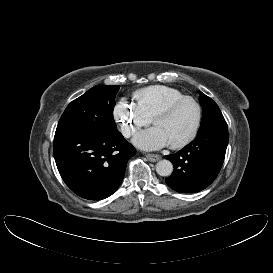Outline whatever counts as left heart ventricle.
Returning <instances> with one entry per match:
<instances>
[{
	"label": "left heart ventricle",
	"mask_w": 273,
	"mask_h": 273,
	"mask_svg": "<svg viewBox=\"0 0 273 273\" xmlns=\"http://www.w3.org/2000/svg\"><path fill=\"white\" fill-rule=\"evenodd\" d=\"M197 118L195 105L190 101L179 104L172 113L156 121L155 127L163 134L168 144H177L192 132Z\"/></svg>",
	"instance_id": "obj_1"
}]
</instances>
